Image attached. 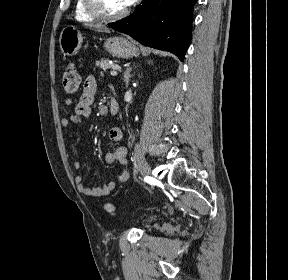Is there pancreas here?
<instances>
[{
  "mask_svg": "<svg viewBox=\"0 0 288 280\" xmlns=\"http://www.w3.org/2000/svg\"><path fill=\"white\" fill-rule=\"evenodd\" d=\"M96 66H99L103 70L118 67L116 64L111 63L109 59H101V61H97Z\"/></svg>",
  "mask_w": 288,
  "mask_h": 280,
  "instance_id": "pancreas-1",
  "label": "pancreas"
}]
</instances>
